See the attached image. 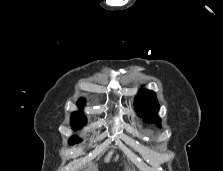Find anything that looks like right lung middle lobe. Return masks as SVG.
<instances>
[{
  "mask_svg": "<svg viewBox=\"0 0 223 171\" xmlns=\"http://www.w3.org/2000/svg\"><path fill=\"white\" fill-rule=\"evenodd\" d=\"M87 120L86 117L83 115L82 112H74L71 117V126L74 129H79L86 124ZM80 139L78 137H71L69 140L70 144L79 143Z\"/></svg>",
  "mask_w": 223,
  "mask_h": 171,
  "instance_id": "right-lung-middle-lobe-1",
  "label": "right lung middle lobe"
}]
</instances>
